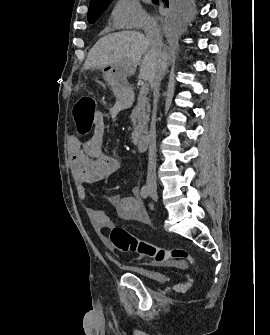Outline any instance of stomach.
<instances>
[{"label": "stomach", "mask_w": 270, "mask_h": 335, "mask_svg": "<svg viewBox=\"0 0 270 335\" xmlns=\"http://www.w3.org/2000/svg\"><path fill=\"white\" fill-rule=\"evenodd\" d=\"M102 72H104L105 78L109 80L117 102H120L121 106H127L129 98V86H127L126 82H122V80L114 78V72H116V70H114L113 66H107V68H103Z\"/></svg>", "instance_id": "0dacf381"}]
</instances>
